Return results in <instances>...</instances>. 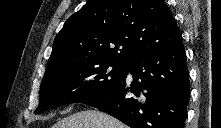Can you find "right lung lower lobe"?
Instances as JSON below:
<instances>
[{
    "mask_svg": "<svg viewBox=\"0 0 221 128\" xmlns=\"http://www.w3.org/2000/svg\"><path fill=\"white\" fill-rule=\"evenodd\" d=\"M133 76L126 83V73ZM133 97H128V93ZM190 97L183 42L134 58L121 81L109 91L82 102L131 128H184Z\"/></svg>",
    "mask_w": 221,
    "mask_h": 128,
    "instance_id": "1",
    "label": "right lung lower lobe"
}]
</instances>
